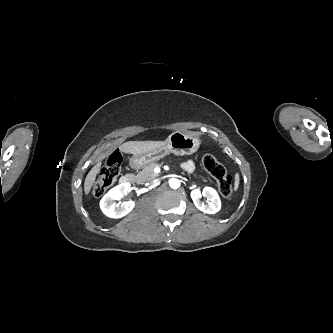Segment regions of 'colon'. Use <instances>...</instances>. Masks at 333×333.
<instances>
[{
	"label": "colon",
	"instance_id": "5ec220e1",
	"mask_svg": "<svg viewBox=\"0 0 333 333\" xmlns=\"http://www.w3.org/2000/svg\"><path fill=\"white\" fill-rule=\"evenodd\" d=\"M122 155L119 151L113 152L98 178L93 184L92 194L94 197L102 196L116 182L120 174ZM204 169L217 181L221 194L232 199L234 197L233 176L228 173L226 167L212 154H204L202 157Z\"/></svg>",
	"mask_w": 333,
	"mask_h": 333
}]
</instances>
